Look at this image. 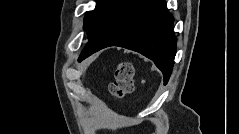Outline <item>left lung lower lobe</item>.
Here are the masks:
<instances>
[{"mask_svg":"<svg viewBox=\"0 0 239 134\" xmlns=\"http://www.w3.org/2000/svg\"><path fill=\"white\" fill-rule=\"evenodd\" d=\"M173 21L164 0H124L107 24L88 40L79 58L109 46L124 47L154 61L167 83L176 53Z\"/></svg>","mask_w":239,"mask_h":134,"instance_id":"obj_1","label":"left lung lower lobe"}]
</instances>
